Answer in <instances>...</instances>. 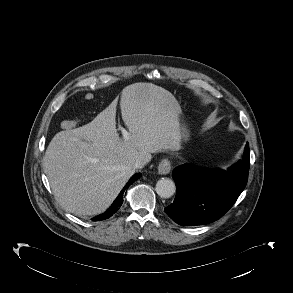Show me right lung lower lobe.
Listing matches in <instances>:
<instances>
[{"mask_svg":"<svg viewBox=\"0 0 293 293\" xmlns=\"http://www.w3.org/2000/svg\"><path fill=\"white\" fill-rule=\"evenodd\" d=\"M139 176H140L139 174H135L129 180V182L126 184V186L122 189V191L120 192V194L118 195V197L115 199V201L113 202V204L109 207V209L105 213H103V214H101V215L93 218L92 220L93 221L104 220V219H107V218L111 217L114 213H116L119 210L120 206L122 205V202H123V193H124L125 189L127 188V186H129L134 181H136L139 178Z\"/></svg>","mask_w":293,"mask_h":293,"instance_id":"98d812e1","label":"right lung lower lobe"}]
</instances>
